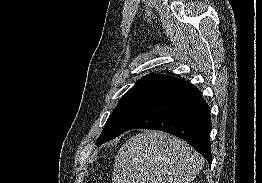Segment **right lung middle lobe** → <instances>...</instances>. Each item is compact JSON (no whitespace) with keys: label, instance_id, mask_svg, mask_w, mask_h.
<instances>
[{"label":"right lung middle lobe","instance_id":"right-lung-middle-lobe-1","mask_svg":"<svg viewBox=\"0 0 262 183\" xmlns=\"http://www.w3.org/2000/svg\"><path fill=\"white\" fill-rule=\"evenodd\" d=\"M156 93V91L125 93L109 116L97 144L101 145L122 134L127 124L146 107Z\"/></svg>","mask_w":262,"mask_h":183}]
</instances>
